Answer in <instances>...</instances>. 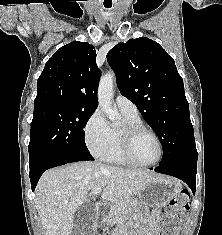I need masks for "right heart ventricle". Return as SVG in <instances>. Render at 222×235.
Instances as JSON below:
<instances>
[{
  "label": "right heart ventricle",
  "instance_id": "obj_1",
  "mask_svg": "<svg viewBox=\"0 0 222 235\" xmlns=\"http://www.w3.org/2000/svg\"><path fill=\"white\" fill-rule=\"evenodd\" d=\"M125 123H142L139 115L122 112ZM119 128H111V141L107 149L100 156L104 161L115 164H125L119 148Z\"/></svg>",
  "mask_w": 222,
  "mask_h": 235
}]
</instances>
